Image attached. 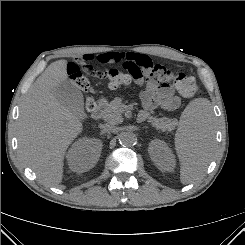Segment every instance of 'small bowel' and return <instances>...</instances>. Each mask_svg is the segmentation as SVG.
I'll return each mask as SVG.
<instances>
[{"instance_id": "1", "label": "small bowel", "mask_w": 245, "mask_h": 245, "mask_svg": "<svg viewBox=\"0 0 245 245\" xmlns=\"http://www.w3.org/2000/svg\"><path fill=\"white\" fill-rule=\"evenodd\" d=\"M95 59L101 63L131 61L139 68L140 74L131 79L142 88L140 97L144 110L140 113L141 119H145L148 116V112L156 108L164 111H174L179 108L181 100L171 86L152 82L148 79V73L153 66V62L147 55L131 52H104L97 55Z\"/></svg>"}]
</instances>
